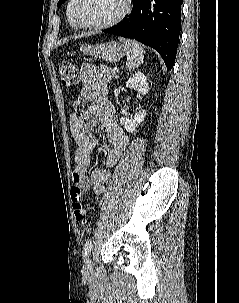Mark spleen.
<instances>
[{"label":"spleen","instance_id":"obj_1","mask_svg":"<svg viewBox=\"0 0 239 303\" xmlns=\"http://www.w3.org/2000/svg\"><path fill=\"white\" fill-rule=\"evenodd\" d=\"M120 42L124 43L125 47L129 51V55L127 57L126 66L129 70H133L143 63L144 59V49L143 47L136 41L125 39L120 37Z\"/></svg>","mask_w":239,"mask_h":303}]
</instances>
